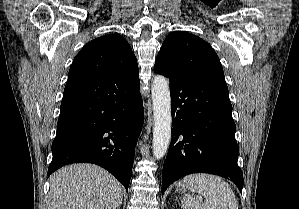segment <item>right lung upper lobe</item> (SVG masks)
<instances>
[{
	"label": "right lung upper lobe",
	"mask_w": 299,
	"mask_h": 209,
	"mask_svg": "<svg viewBox=\"0 0 299 209\" xmlns=\"http://www.w3.org/2000/svg\"><path fill=\"white\" fill-rule=\"evenodd\" d=\"M119 75L127 81L139 78L136 57L119 34H109L88 42L74 58L68 80L100 75Z\"/></svg>",
	"instance_id": "right-lung-upper-lobe-1"
}]
</instances>
